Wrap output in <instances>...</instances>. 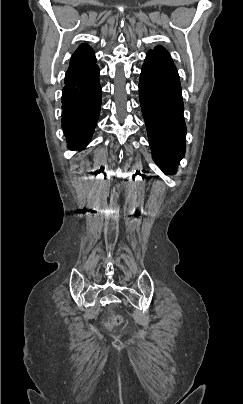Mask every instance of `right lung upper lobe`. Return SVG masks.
Instances as JSON below:
<instances>
[{
	"mask_svg": "<svg viewBox=\"0 0 243 404\" xmlns=\"http://www.w3.org/2000/svg\"><path fill=\"white\" fill-rule=\"evenodd\" d=\"M93 50L87 44L81 45L73 54L65 78L83 73L95 65Z\"/></svg>",
	"mask_w": 243,
	"mask_h": 404,
	"instance_id": "1",
	"label": "right lung upper lobe"
}]
</instances>
